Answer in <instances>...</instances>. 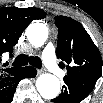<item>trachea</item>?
I'll return each mask as SVG.
<instances>
[{
    "label": "trachea",
    "instance_id": "trachea-1",
    "mask_svg": "<svg viewBox=\"0 0 103 103\" xmlns=\"http://www.w3.org/2000/svg\"><path fill=\"white\" fill-rule=\"evenodd\" d=\"M30 64L38 69L42 67L41 59L39 57L28 56L25 54H20L13 63V66H24Z\"/></svg>",
    "mask_w": 103,
    "mask_h": 103
}]
</instances>
